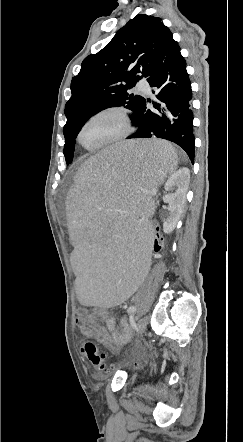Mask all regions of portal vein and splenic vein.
<instances>
[{"label": "portal vein and splenic vein", "instance_id": "obj_1", "mask_svg": "<svg viewBox=\"0 0 243 442\" xmlns=\"http://www.w3.org/2000/svg\"><path fill=\"white\" fill-rule=\"evenodd\" d=\"M146 193H148L150 195H156L157 192L155 189H153V190L146 191Z\"/></svg>", "mask_w": 243, "mask_h": 442}]
</instances>
